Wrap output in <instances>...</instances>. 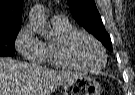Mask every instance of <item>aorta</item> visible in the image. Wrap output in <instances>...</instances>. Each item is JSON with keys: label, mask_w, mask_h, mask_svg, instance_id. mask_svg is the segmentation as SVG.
<instances>
[{"label": "aorta", "mask_w": 135, "mask_h": 95, "mask_svg": "<svg viewBox=\"0 0 135 95\" xmlns=\"http://www.w3.org/2000/svg\"><path fill=\"white\" fill-rule=\"evenodd\" d=\"M29 23L34 32L44 38H49L50 34L46 29L45 14L42 6L37 5L33 8L29 15Z\"/></svg>", "instance_id": "1"}]
</instances>
